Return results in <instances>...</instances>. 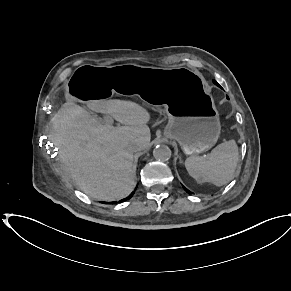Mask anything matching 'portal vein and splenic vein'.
<instances>
[{"instance_id": "18ae733b", "label": "portal vein and splenic vein", "mask_w": 291, "mask_h": 291, "mask_svg": "<svg viewBox=\"0 0 291 291\" xmlns=\"http://www.w3.org/2000/svg\"><path fill=\"white\" fill-rule=\"evenodd\" d=\"M105 121H106L108 124H110V123L113 122V120H112L111 117H106V118H105Z\"/></svg>"}]
</instances>
